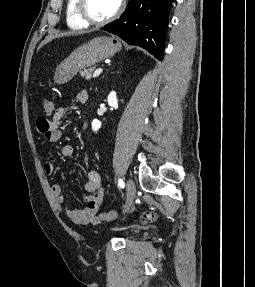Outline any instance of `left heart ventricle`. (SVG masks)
Here are the masks:
<instances>
[{"label": "left heart ventricle", "instance_id": "obj_1", "mask_svg": "<svg viewBox=\"0 0 255 287\" xmlns=\"http://www.w3.org/2000/svg\"><path fill=\"white\" fill-rule=\"evenodd\" d=\"M94 33H120V32H94ZM96 39H110V38H96ZM95 48H130V47H95Z\"/></svg>", "mask_w": 255, "mask_h": 287}]
</instances>
